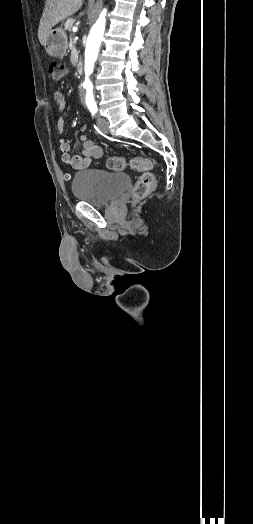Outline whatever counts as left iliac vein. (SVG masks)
<instances>
[{"label":"left iliac vein","mask_w":253,"mask_h":524,"mask_svg":"<svg viewBox=\"0 0 253 524\" xmlns=\"http://www.w3.org/2000/svg\"><path fill=\"white\" fill-rule=\"evenodd\" d=\"M97 125H98V128L101 132L103 133H108L109 132V123L108 121L101 117V116H98L97 117Z\"/></svg>","instance_id":"left-iliac-vein-1"}]
</instances>
